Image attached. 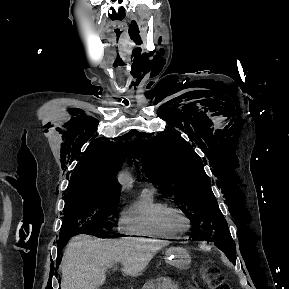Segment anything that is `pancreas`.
<instances>
[{"instance_id":"pancreas-1","label":"pancreas","mask_w":289,"mask_h":289,"mask_svg":"<svg viewBox=\"0 0 289 289\" xmlns=\"http://www.w3.org/2000/svg\"><path fill=\"white\" fill-rule=\"evenodd\" d=\"M142 289H179V286L169 278L159 277L149 280Z\"/></svg>"}]
</instances>
